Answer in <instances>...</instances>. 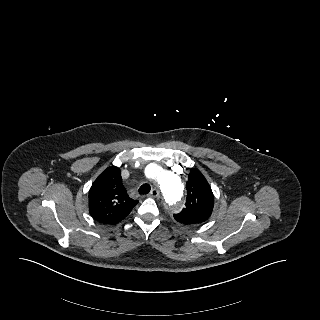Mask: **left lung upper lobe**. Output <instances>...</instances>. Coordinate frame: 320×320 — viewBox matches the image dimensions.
<instances>
[{"mask_svg":"<svg viewBox=\"0 0 320 320\" xmlns=\"http://www.w3.org/2000/svg\"><path fill=\"white\" fill-rule=\"evenodd\" d=\"M185 207L174 218L181 224L194 225L206 221L212 213L214 196L207 180L197 169H191L186 183Z\"/></svg>","mask_w":320,"mask_h":320,"instance_id":"obj_1","label":"left lung upper lobe"}]
</instances>
